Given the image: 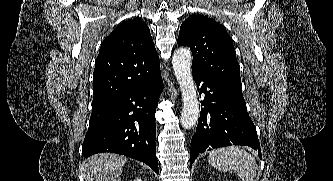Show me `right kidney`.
Returning a JSON list of instances; mask_svg holds the SVG:
<instances>
[{"label": "right kidney", "mask_w": 333, "mask_h": 181, "mask_svg": "<svg viewBox=\"0 0 333 181\" xmlns=\"http://www.w3.org/2000/svg\"><path fill=\"white\" fill-rule=\"evenodd\" d=\"M134 181H142L140 178H135Z\"/></svg>", "instance_id": "right-kidney-1"}]
</instances>
